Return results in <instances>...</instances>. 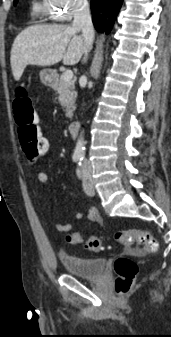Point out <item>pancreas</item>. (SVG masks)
<instances>
[{
	"instance_id": "obj_1",
	"label": "pancreas",
	"mask_w": 171,
	"mask_h": 337,
	"mask_svg": "<svg viewBox=\"0 0 171 337\" xmlns=\"http://www.w3.org/2000/svg\"><path fill=\"white\" fill-rule=\"evenodd\" d=\"M55 90L58 94L59 103L66 108V117L72 118L75 110V99L77 97L75 81H65L61 76Z\"/></svg>"
}]
</instances>
